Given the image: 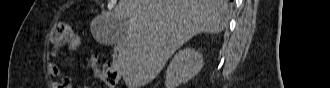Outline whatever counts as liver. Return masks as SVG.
Segmentation results:
<instances>
[{
    "mask_svg": "<svg viewBox=\"0 0 330 88\" xmlns=\"http://www.w3.org/2000/svg\"><path fill=\"white\" fill-rule=\"evenodd\" d=\"M106 18V30L113 23L118 27L106 42L117 44L124 82L128 88H139L193 36L222 32L228 23V1L119 0Z\"/></svg>",
    "mask_w": 330,
    "mask_h": 88,
    "instance_id": "obj_1",
    "label": "liver"
}]
</instances>
